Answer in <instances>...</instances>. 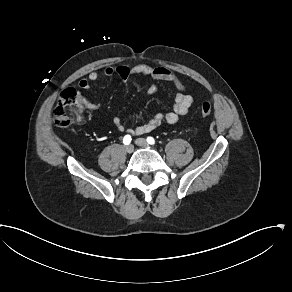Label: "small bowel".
I'll use <instances>...</instances> for the list:
<instances>
[{
	"label": "small bowel",
	"instance_id": "c3829d8e",
	"mask_svg": "<svg viewBox=\"0 0 292 292\" xmlns=\"http://www.w3.org/2000/svg\"><path fill=\"white\" fill-rule=\"evenodd\" d=\"M103 75L111 77L118 75L124 81H127L133 75H145L149 76L154 81H165L171 83L175 87L174 103L172 109L167 113H156L147 122L138 125L130 129L131 134L142 135L149 133L163 123L169 125L176 124L180 118L186 116L194 102V98L187 92V86L185 83L170 69L165 67H152L145 64H138L132 67L127 65H119L116 67L106 66L103 69ZM100 74L97 71H90L88 75L81 78L78 81V87L82 90H92V84L99 80ZM157 91L156 84H152L148 87L147 93L149 95L154 94ZM79 101H82L89 107L98 108L99 103H92L83 96L78 97ZM113 124L119 132H125L126 128L120 117L113 118Z\"/></svg>",
	"mask_w": 292,
	"mask_h": 292
}]
</instances>
